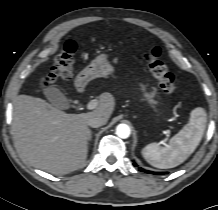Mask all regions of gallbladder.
<instances>
[{
	"label": "gallbladder",
	"mask_w": 218,
	"mask_h": 210,
	"mask_svg": "<svg viewBox=\"0 0 218 210\" xmlns=\"http://www.w3.org/2000/svg\"><path fill=\"white\" fill-rule=\"evenodd\" d=\"M44 78L41 79L40 87L46 99L56 108L66 107L67 100L65 96L54 86H45Z\"/></svg>",
	"instance_id": "gallbladder-1"
}]
</instances>
